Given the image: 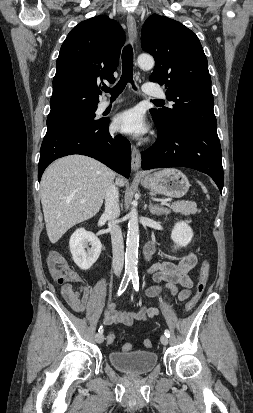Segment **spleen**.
<instances>
[{"label":"spleen","instance_id":"spleen-1","mask_svg":"<svg viewBox=\"0 0 253 413\" xmlns=\"http://www.w3.org/2000/svg\"><path fill=\"white\" fill-rule=\"evenodd\" d=\"M198 183L201 185V187H202V190L204 191V193H208V191H207V189H206V187L200 182V181H198ZM207 198L209 199V195L207 194Z\"/></svg>","mask_w":253,"mask_h":413}]
</instances>
